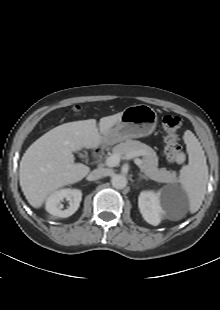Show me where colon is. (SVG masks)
I'll return each mask as SVG.
<instances>
[{"label": "colon", "instance_id": "5ec220e1", "mask_svg": "<svg viewBox=\"0 0 220 310\" xmlns=\"http://www.w3.org/2000/svg\"><path fill=\"white\" fill-rule=\"evenodd\" d=\"M75 109H79L76 107ZM162 127L165 131V154L169 160L181 163L185 159L180 145L179 129L181 119L176 115H165L162 118Z\"/></svg>", "mask_w": 220, "mask_h": 310}]
</instances>
